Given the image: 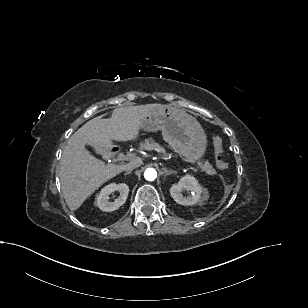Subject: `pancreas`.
Returning a JSON list of instances; mask_svg holds the SVG:
<instances>
[{
    "instance_id": "pancreas-1",
    "label": "pancreas",
    "mask_w": 308,
    "mask_h": 308,
    "mask_svg": "<svg viewBox=\"0 0 308 308\" xmlns=\"http://www.w3.org/2000/svg\"><path fill=\"white\" fill-rule=\"evenodd\" d=\"M140 148L145 149V150H153V149L164 150L163 147H161L158 143H156L152 139L145 140L144 143H140ZM202 169H204L206 171H212L213 170L212 166L208 162H205V164L202 165Z\"/></svg>"
}]
</instances>
